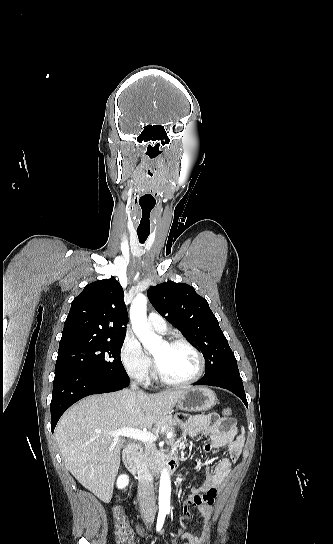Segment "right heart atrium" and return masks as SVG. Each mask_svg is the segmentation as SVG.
Segmentation results:
<instances>
[{
  "instance_id": "right-heart-atrium-1",
  "label": "right heart atrium",
  "mask_w": 333,
  "mask_h": 544,
  "mask_svg": "<svg viewBox=\"0 0 333 544\" xmlns=\"http://www.w3.org/2000/svg\"><path fill=\"white\" fill-rule=\"evenodd\" d=\"M121 361L127 374L140 383L149 380L152 364L147 352L133 336H127L121 349Z\"/></svg>"
}]
</instances>
